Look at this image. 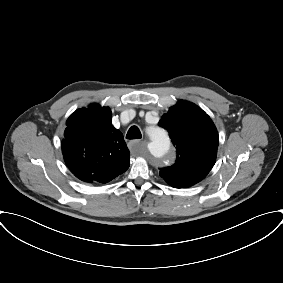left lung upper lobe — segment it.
<instances>
[{"instance_id": "1", "label": "left lung upper lobe", "mask_w": 283, "mask_h": 283, "mask_svg": "<svg viewBox=\"0 0 283 283\" xmlns=\"http://www.w3.org/2000/svg\"><path fill=\"white\" fill-rule=\"evenodd\" d=\"M159 125L168 130L177 149L176 162L160 169V176L176 188L201 181L215 163L219 144L210 117L195 104L181 101L162 116Z\"/></svg>"}]
</instances>
